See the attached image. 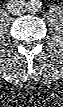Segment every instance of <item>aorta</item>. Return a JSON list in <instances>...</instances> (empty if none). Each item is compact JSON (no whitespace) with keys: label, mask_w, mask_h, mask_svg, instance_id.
Here are the masks:
<instances>
[{"label":"aorta","mask_w":63,"mask_h":107,"mask_svg":"<svg viewBox=\"0 0 63 107\" xmlns=\"http://www.w3.org/2000/svg\"><path fill=\"white\" fill-rule=\"evenodd\" d=\"M28 6L32 10H37L40 7V2L37 0H31L29 1Z\"/></svg>","instance_id":"762f6f07"}]
</instances>
